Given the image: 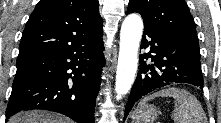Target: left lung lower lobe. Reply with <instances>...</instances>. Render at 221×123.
Segmentation results:
<instances>
[{"mask_svg": "<svg viewBox=\"0 0 221 123\" xmlns=\"http://www.w3.org/2000/svg\"><path fill=\"white\" fill-rule=\"evenodd\" d=\"M141 55L135 83L126 104L124 120L133 105L153 90L172 83H189L203 89L199 45L144 25ZM151 58L152 63L145 60Z\"/></svg>", "mask_w": 221, "mask_h": 123, "instance_id": "left-lung-lower-lobe-1", "label": "left lung lower lobe"}]
</instances>
